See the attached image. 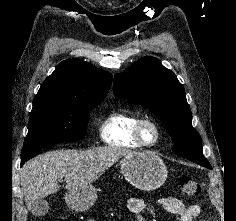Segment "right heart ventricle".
Masks as SVG:
<instances>
[{
    "label": "right heart ventricle",
    "instance_id": "1",
    "mask_svg": "<svg viewBox=\"0 0 236 221\" xmlns=\"http://www.w3.org/2000/svg\"><path fill=\"white\" fill-rule=\"evenodd\" d=\"M140 116L134 112L117 110L101 123L99 133L109 146L122 149H138L141 145L134 138V128Z\"/></svg>",
    "mask_w": 236,
    "mask_h": 221
}]
</instances>
